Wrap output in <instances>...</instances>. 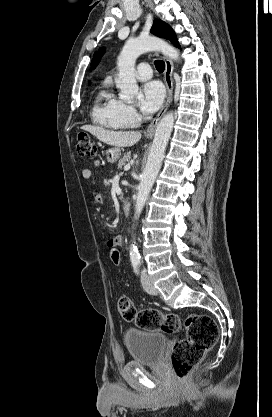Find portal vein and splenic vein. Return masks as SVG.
<instances>
[{"label": "portal vein and splenic vein", "instance_id": "1", "mask_svg": "<svg viewBox=\"0 0 272 417\" xmlns=\"http://www.w3.org/2000/svg\"><path fill=\"white\" fill-rule=\"evenodd\" d=\"M129 169H130V165L129 164L124 166V171H127Z\"/></svg>", "mask_w": 272, "mask_h": 417}]
</instances>
